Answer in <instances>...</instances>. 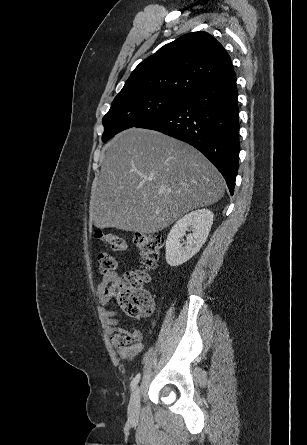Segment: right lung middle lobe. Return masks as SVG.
Masks as SVG:
<instances>
[{"label":"right lung middle lobe","instance_id":"dd1d6c3e","mask_svg":"<svg viewBox=\"0 0 307 445\" xmlns=\"http://www.w3.org/2000/svg\"><path fill=\"white\" fill-rule=\"evenodd\" d=\"M185 97L162 94L117 95L103 117V142L118 132L154 119L174 107Z\"/></svg>","mask_w":307,"mask_h":445}]
</instances>
